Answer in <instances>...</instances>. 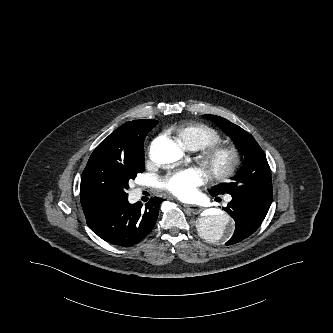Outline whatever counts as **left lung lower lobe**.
Listing matches in <instances>:
<instances>
[{
  "instance_id": "obj_1",
  "label": "left lung lower lobe",
  "mask_w": 333,
  "mask_h": 333,
  "mask_svg": "<svg viewBox=\"0 0 333 333\" xmlns=\"http://www.w3.org/2000/svg\"><path fill=\"white\" fill-rule=\"evenodd\" d=\"M271 202L232 197L224 210L234 219L236 228L226 245L238 243L254 233L263 222Z\"/></svg>"
}]
</instances>
